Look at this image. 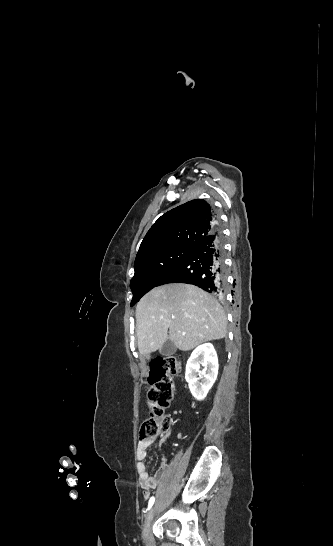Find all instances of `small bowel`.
<instances>
[{"mask_svg":"<svg viewBox=\"0 0 333 546\" xmlns=\"http://www.w3.org/2000/svg\"><path fill=\"white\" fill-rule=\"evenodd\" d=\"M150 444V441L141 440L137 446V457L139 459L137 469L139 473V483L141 488L144 490V499H148L150 492L154 490L159 482L165 477L168 469V462L164 457L154 475H151L148 472L146 458L148 456Z\"/></svg>","mask_w":333,"mask_h":546,"instance_id":"c3829d8e","label":"small bowel"}]
</instances>
